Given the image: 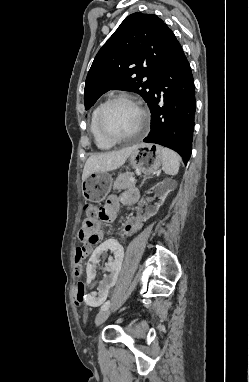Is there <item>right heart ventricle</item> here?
I'll list each match as a JSON object with an SVG mask.
<instances>
[{
  "instance_id": "1",
  "label": "right heart ventricle",
  "mask_w": 249,
  "mask_h": 382,
  "mask_svg": "<svg viewBox=\"0 0 249 382\" xmlns=\"http://www.w3.org/2000/svg\"><path fill=\"white\" fill-rule=\"evenodd\" d=\"M101 105L102 104L97 105L92 111L91 120H90V132H91V135L94 139L96 146L99 149L109 150L114 146V144L107 141L106 139H104L102 137V135L99 132L98 124H97L98 112H99Z\"/></svg>"
}]
</instances>
